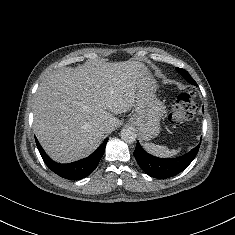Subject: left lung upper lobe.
<instances>
[{"instance_id": "5c2ea615", "label": "left lung upper lobe", "mask_w": 235, "mask_h": 235, "mask_svg": "<svg viewBox=\"0 0 235 235\" xmlns=\"http://www.w3.org/2000/svg\"><path fill=\"white\" fill-rule=\"evenodd\" d=\"M177 71L191 84L193 85H197L196 82L194 81V79L190 76V74L181 68H177Z\"/></svg>"}]
</instances>
